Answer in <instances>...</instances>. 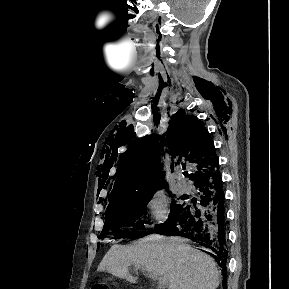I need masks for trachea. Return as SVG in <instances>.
<instances>
[{
  "label": "trachea",
  "mask_w": 289,
  "mask_h": 289,
  "mask_svg": "<svg viewBox=\"0 0 289 289\" xmlns=\"http://www.w3.org/2000/svg\"><path fill=\"white\" fill-rule=\"evenodd\" d=\"M183 174H184V176H187L188 173L185 171Z\"/></svg>",
  "instance_id": "1"
}]
</instances>
